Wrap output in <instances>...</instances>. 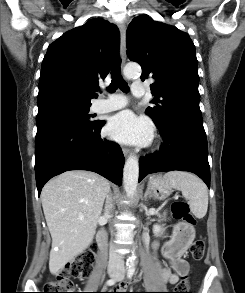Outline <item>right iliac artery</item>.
<instances>
[{
  "mask_svg": "<svg viewBox=\"0 0 245 293\" xmlns=\"http://www.w3.org/2000/svg\"><path fill=\"white\" fill-rule=\"evenodd\" d=\"M115 282H116L115 279H109V280L107 281V285L111 286V285L115 284Z\"/></svg>",
  "mask_w": 245,
  "mask_h": 293,
  "instance_id": "obj_1",
  "label": "right iliac artery"
}]
</instances>
